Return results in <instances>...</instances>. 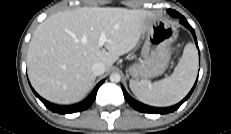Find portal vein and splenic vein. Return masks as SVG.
<instances>
[{"instance_id":"18ae733b","label":"portal vein and splenic vein","mask_w":231,"mask_h":134,"mask_svg":"<svg viewBox=\"0 0 231 134\" xmlns=\"http://www.w3.org/2000/svg\"><path fill=\"white\" fill-rule=\"evenodd\" d=\"M106 41H107L106 35L104 33H101L99 42H98L99 47H102Z\"/></svg>"}]
</instances>
